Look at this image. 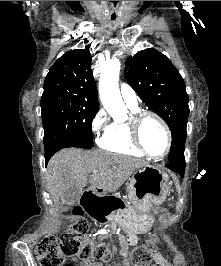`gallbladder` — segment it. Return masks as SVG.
I'll return each instance as SVG.
<instances>
[{
  "mask_svg": "<svg viewBox=\"0 0 221 266\" xmlns=\"http://www.w3.org/2000/svg\"><path fill=\"white\" fill-rule=\"evenodd\" d=\"M82 194V189L75 187V186H70L67 188L63 196L61 197V203L65 205H71L77 202Z\"/></svg>",
  "mask_w": 221,
  "mask_h": 266,
  "instance_id": "bac80fb5",
  "label": "gallbladder"
}]
</instances>
